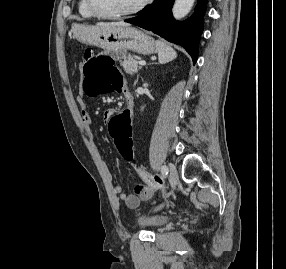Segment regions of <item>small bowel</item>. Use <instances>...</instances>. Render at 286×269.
I'll list each match as a JSON object with an SVG mask.
<instances>
[{
	"mask_svg": "<svg viewBox=\"0 0 286 269\" xmlns=\"http://www.w3.org/2000/svg\"><path fill=\"white\" fill-rule=\"evenodd\" d=\"M123 93L124 96L126 98V105L124 108H127V111H133L134 108V100L132 97V94L130 92V90L126 87H123L120 89ZM80 104L82 107L81 110V121L83 123V125L85 126L86 129L91 130L92 127V120H91V116L90 113L86 110L85 107V103L82 99H80ZM111 113H115V108H107L106 111H100V120L101 123H108L109 121V116H111ZM139 177L145 181L147 180V173L144 169L140 168L139 169ZM108 178L111 180L112 179V175L110 172L107 173ZM113 193L122 201H124L126 203V205L129 208L135 209L137 207H139L140 203L143 200H147L152 196V192L148 191L147 193H145L143 196H139V195H129L127 194L123 187L120 185H117L115 187H113Z\"/></svg>",
	"mask_w": 286,
	"mask_h": 269,
	"instance_id": "c3829d8e",
	"label": "small bowel"
}]
</instances>
